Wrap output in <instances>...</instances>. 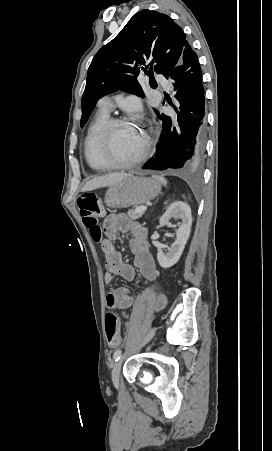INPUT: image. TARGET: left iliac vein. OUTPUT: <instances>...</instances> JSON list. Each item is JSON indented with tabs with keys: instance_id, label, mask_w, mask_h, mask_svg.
<instances>
[{
	"instance_id": "left-iliac-vein-1",
	"label": "left iliac vein",
	"mask_w": 272,
	"mask_h": 451,
	"mask_svg": "<svg viewBox=\"0 0 272 451\" xmlns=\"http://www.w3.org/2000/svg\"><path fill=\"white\" fill-rule=\"evenodd\" d=\"M156 329L153 328L151 329V331L149 332V334L146 336L144 343H148L151 338L153 337V335L155 334ZM121 366H122V361L118 360L116 361V363L113 365L112 368V373H111V378H112V382L117 386L119 383V377H120V371H121Z\"/></svg>"
}]
</instances>
